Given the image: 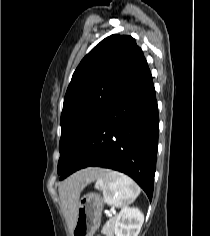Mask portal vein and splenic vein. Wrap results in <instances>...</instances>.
<instances>
[{"label":"portal vein and splenic vein","instance_id":"portal-vein-and-splenic-vein-1","mask_svg":"<svg viewBox=\"0 0 210 236\" xmlns=\"http://www.w3.org/2000/svg\"><path fill=\"white\" fill-rule=\"evenodd\" d=\"M109 215H112V211L109 213Z\"/></svg>","mask_w":210,"mask_h":236}]
</instances>
